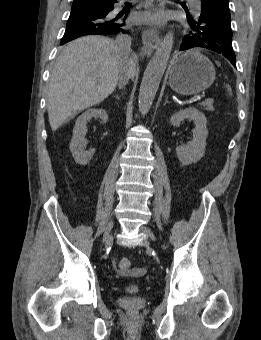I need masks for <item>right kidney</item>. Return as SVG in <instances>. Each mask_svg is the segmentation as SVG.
Here are the masks:
<instances>
[{
	"instance_id": "1",
	"label": "right kidney",
	"mask_w": 261,
	"mask_h": 340,
	"mask_svg": "<svg viewBox=\"0 0 261 340\" xmlns=\"http://www.w3.org/2000/svg\"><path fill=\"white\" fill-rule=\"evenodd\" d=\"M92 118H100L103 123H106L108 120V115L103 109H88L78 117L73 129V136L69 148L75 162L80 165L88 164L95 152V149L93 148L85 151L82 146L87 133V121Z\"/></svg>"
}]
</instances>
